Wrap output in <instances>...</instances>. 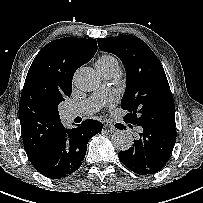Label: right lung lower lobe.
<instances>
[{
	"instance_id": "98d812e1",
	"label": "right lung lower lobe",
	"mask_w": 203,
	"mask_h": 203,
	"mask_svg": "<svg viewBox=\"0 0 203 203\" xmlns=\"http://www.w3.org/2000/svg\"><path fill=\"white\" fill-rule=\"evenodd\" d=\"M102 123L93 119L83 121L76 128L63 125L46 149L35 161L34 168L51 179H60L76 171L84 160L89 139L102 130Z\"/></svg>"
}]
</instances>
